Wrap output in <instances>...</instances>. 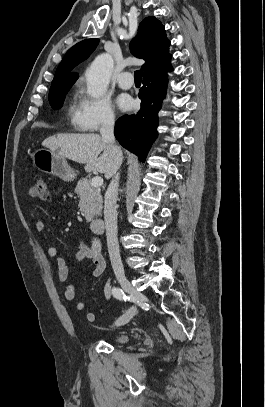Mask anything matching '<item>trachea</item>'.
<instances>
[{
    "label": "trachea",
    "mask_w": 265,
    "mask_h": 407,
    "mask_svg": "<svg viewBox=\"0 0 265 407\" xmlns=\"http://www.w3.org/2000/svg\"><path fill=\"white\" fill-rule=\"evenodd\" d=\"M134 78H135V81H141L142 80V71L136 70L134 73Z\"/></svg>",
    "instance_id": "1"
}]
</instances>
